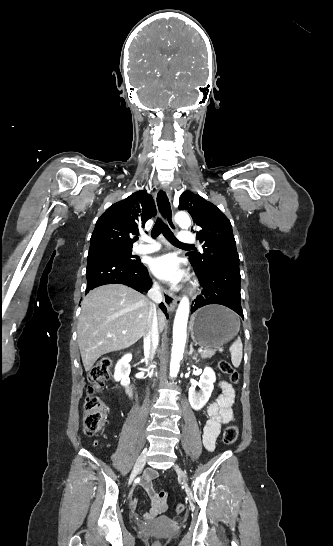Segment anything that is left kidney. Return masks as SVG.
<instances>
[{"label":"left kidney","mask_w":333,"mask_h":546,"mask_svg":"<svg viewBox=\"0 0 333 546\" xmlns=\"http://www.w3.org/2000/svg\"><path fill=\"white\" fill-rule=\"evenodd\" d=\"M215 381L216 376L214 371L210 367H206L198 383L201 391L196 392L195 386L189 388V402L193 409L200 410L207 403L213 391Z\"/></svg>","instance_id":"obj_1"}]
</instances>
